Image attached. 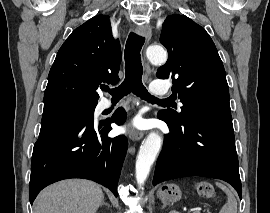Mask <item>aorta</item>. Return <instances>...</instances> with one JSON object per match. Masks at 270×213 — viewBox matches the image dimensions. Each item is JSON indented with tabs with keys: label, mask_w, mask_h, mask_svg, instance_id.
Wrapping results in <instances>:
<instances>
[{
	"label": "aorta",
	"mask_w": 270,
	"mask_h": 213,
	"mask_svg": "<svg viewBox=\"0 0 270 213\" xmlns=\"http://www.w3.org/2000/svg\"><path fill=\"white\" fill-rule=\"evenodd\" d=\"M146 55L154 64H164L167 61V52L161 46H150ZM161 146L162 137L155 131L151 132L142 143L135 166L136 180L140 188L146 181Z\"/></svg>",
	"instance_id": "1"
}]
</instances>
